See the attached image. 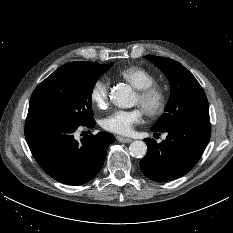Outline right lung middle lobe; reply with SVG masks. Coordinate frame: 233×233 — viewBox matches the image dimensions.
<instances>
[{
  "mask_svg": "<svg viewBox=\"0 0 233 233\" xmlns=\"http://www.w3.org/2000/svg\"><path fill=\"white\" fill-rule=\"evenodd\" d=\"M111 65L78 61L59 67L33 91L27 116L55 117L78 125L94 124L92 91Z\"/></svg>",
  "mask_w": 233,
  "mask_h": 233,
  "instance_id": "right-lung-middle-lobe-1",
  "label": "right lung middle lobe"
}]
</instances>
